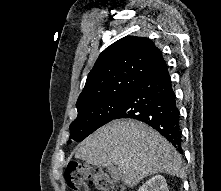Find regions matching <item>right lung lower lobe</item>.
Masks as SVG:
<instances>
[{
	"label": "right lung lower lobe",
	"mask_w": 221,
	"mask_h": 191,
	"mask_svg": "<svg viewBox=\"0 0 221 191\" xmlns=\"http://www.w3.org/2000/svg\"><path fill=\"white\" fill-rule=\"evenodd\" d=\"M120 118L136 119L150 125L180 153L183 152L180 112L166 64L128 93L114 117Z\"/></svg>",
	"instance_id": "obj_1"
}]
</instances>
